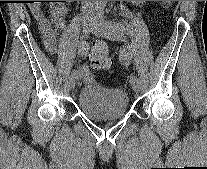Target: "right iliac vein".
Masks as SVG:
<instances>
[{"instance_id":"63e3f726","label":"right iliac vein","mask_w":207,"mask_h":169,"mask_svg":"<svg viewBox=\"0 0 207 169\" xmlns=\"http://www.w3.org/2000/svg\"><path fill=\"white\" fill-rule=\"evenodd\" d=\"M92 25H93L92 19L86 18V19L83 20L82 28H83L84 34L88 35L91 32ZM68 84H69V88L71 90H73L75 88V85H76V78L73 77V76H70L69 79H68Z\"/></svg>"}]
</instances>
